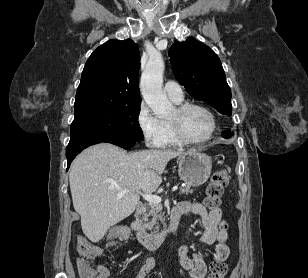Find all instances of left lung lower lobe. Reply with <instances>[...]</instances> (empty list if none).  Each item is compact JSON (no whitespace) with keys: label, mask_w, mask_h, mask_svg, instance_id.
Segmentation results:
<instances>
[{"label":"left lung lower lobe","mask_w":308,"mask_h":278,"mask_svg":"<svg viewBox=\"0 0 308 278\" xmlns=\"http://www.w3.org/2000/svg\"><path fill=\"white\" fill-rule=\"evenodd\" d=\"M223 135H225V138H229L232 134L230 131H226L223 133Z\"/></svg>","instance_id":"obj_1"}]
</instances>
